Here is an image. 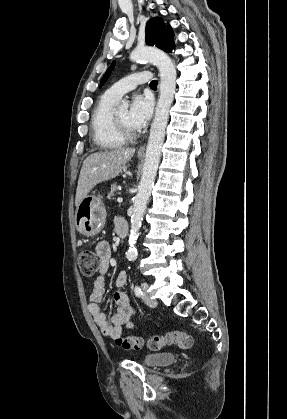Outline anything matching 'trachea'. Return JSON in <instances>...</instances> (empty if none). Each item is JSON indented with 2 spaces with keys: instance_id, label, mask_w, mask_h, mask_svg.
<instances>
[{
  "instance_id": "3493384b",
  "label": "trachea",
  "mask_w": 287,
  "mask_h": 419,
  "mask_svg": "<svg viewBox=\"0 0 287 419\" xmlns=\"http://www.w3.org/2000/svg\"><path fill=\"white\" fill-rule=\"evenodd\" d=\"M157 84H158L157 80H153V81L150 83V86H151V87H156V86H157Z\"/></svg>"
}]
</instances>
